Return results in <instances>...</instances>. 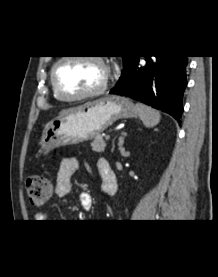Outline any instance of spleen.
<instances>
[{
	"label": "spleen",
	"mask_w": 218,
	"mask_h": 277,
	"mask_svg": "<svg viewBox=\"0 0 218 277\" xmlns=\"http://www.w3.org/2000/svg\"><path fill=\"white\" fill-rule=\"evenodd\" d=\"M135 108L137 115L146 127L151 128L159 123L161 116L156 110L141 103H136Z\"/></svg>",
	"instance_id": "obj_1"
}]
</instances>
